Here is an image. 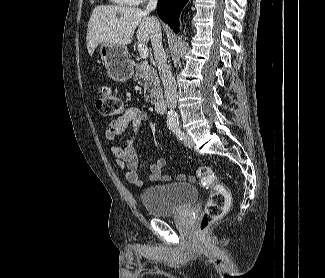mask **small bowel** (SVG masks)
Returning <instances> with one entry per match:
<instances>
[{
    "instance_id": "small-bowel-1",
    "label": "small bowel",
    "mask_w": 325,
    "mask_h": 278,
    "mask_svg": "<svg viewBox=\"0 0 325 278\" xmlns=\"http://www.w3.org/2000/svg\"><path fill=\"white\" fill-rule=\"evenodd\" d=\"M147 119L146 111L139 108H128L122 116L108 125L104 135L106 139L113 141L119 135L124 134L128 128L135 134ZM110 151L115 157L116 165L125 170L126 180L141 187L142 181L138 174L140 159L134 144V137L130 138L124 147L111 145ZM164 166L165 160L163 158H158L153 163L148 164L150 170L149 180L152 182L168 180L169 177L163 173ZM180 178H184V176L181 175Z\"/></svg>"
}]
</instances>
